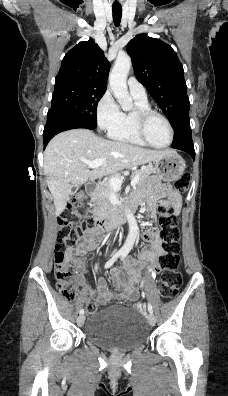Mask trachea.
Returning a JSON list of instances; mask_svg holds the SVG:
<instances>
[{"label": "trachea", "mask_w": 228, "mask_h": 396, "mask_svg": "<svg viewBox=\"0 0 228 396\" xmlns=\"http://www.w3.org/2000/svg\"><path fill=\"white\" fill-rule=\"evenodd\" d=\"M113 21L116 27L120 25L121 16H122V8L121 7H113Z\"/></svg>", "instance_id": "3493384b"}]
</instances>
